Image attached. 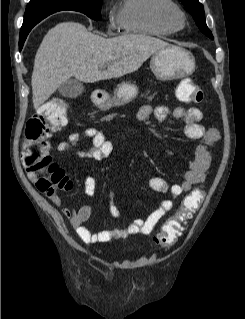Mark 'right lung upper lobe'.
I'll return each instance as SVG.
<instances>
[{
    "label": "right lung upper lobe",
    "instance_id": "1",
    "mask_svg": "<svg viewBox=\"0 0 245 319\" xmlns=\"http://www.w3.org/2000/svg\"><path fill=\"white\" fill-rule=\"evenodd\" d=\"M31 1H49V2H56V1H63V0H31ZM60 11L59 8H47V7H38L34 11L24 16V21L30 19L29 23L26 24L24 28L21 27V30H27L29 28H33L38 22H40L45 17L49 16L52 13Z\"/></svg>",
    "mask_w": 245,
    "mask_h": 319
}]
</instances>
